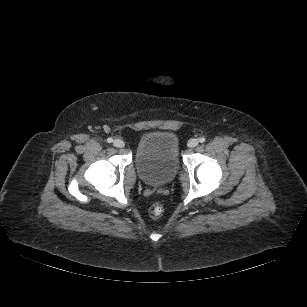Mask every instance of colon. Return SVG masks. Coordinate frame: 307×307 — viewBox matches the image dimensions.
Segmentation results:
<instances>
[{
    "label": "colon",
    "mask_w": 307,
    "mask_h": 307,
    "mask_svg": "<svg viewBox=\"0 0 307 307\" xmlns=\"http://www.w3.org/2000/svg\"><path fill=\"white\" fill-rule=\"evenodd\" d=\"M162 213H163V208L161 205L154 204L150 207L149 214L151 217L158 218L162 215Z\"/></svg>",
    "instance_id": "colon-1"
}]
</instances>
